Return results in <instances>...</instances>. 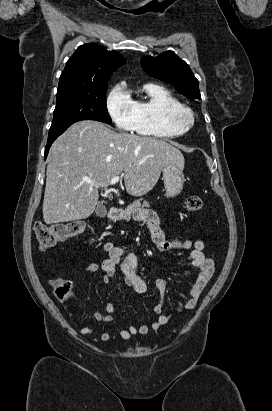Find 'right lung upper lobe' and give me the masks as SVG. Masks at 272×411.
I'll use <instances>...</instances> for the list:
<instances>
[{"label": "right lung upper lobe", "mask_w": 272, "mask_h": 411, "mask_svg": "<svg viewBox=\"0 0 272 411\" xmlns=\"http://www.w3.org/2000/svg\"><path fill=\"white\" fill-rule=\"evenodd\" d=\"M126 63L116 51L88 43L80 46L67 61L57 92L80 90L106 84L112 73Z\"/></svg>", "instance_id": "cb5924a9"}]
</instances>
